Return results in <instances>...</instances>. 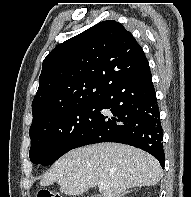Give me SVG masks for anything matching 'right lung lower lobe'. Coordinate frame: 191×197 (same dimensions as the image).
I'll list each match as a JSON object with an SVG mask.
<instances>
[{"mask_svg": "<svg viewBox=\"0 0 191 197\" xmlns=\"http://www.w3.org/2000/svg\"><path fill=\"white\" fill-rule=\"evenodd\" d=\"M98 115L74 148L118 142L140 148L164 168L163 132L149 65L108 87L98 99ZM108 109L112 115H103Z\"/></svg>", "mask_w": 191, "mask_h": 197, "instance_id": "1", "label": "right lung lower lobe"}]
</instances>
